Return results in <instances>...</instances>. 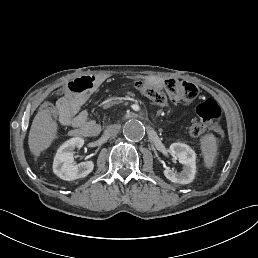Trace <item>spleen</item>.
Segmentation results:
<instances>
[{
    "label": "spleen",
    "mask_w": 258,
    "mask_h": 258,
    "mask_svg": "<svg viewBox=\"0 0 258 258\" xmlns=\"http://www.w3.org/2000/svg\"><path fill=\"white\" fill-rule=\"evenodd\" d=\"M201 144H202V151L204 154V160L207 166L210 167L213 163V160L215 158V154L217 151L216 140L214 136L207 135L202 138Z\"/></svg>",
    "instance_id": "1"
}]
</instances>
